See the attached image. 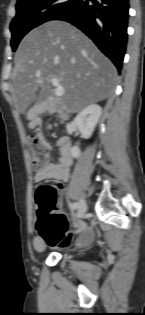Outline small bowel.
Masks as SVG:
<instances>
[{"instance_id": "obj_1", "label": "small bowel", "mask_w": 145, "mask_h": 315, "mask_svg": "<svg viewBox=\"0 0 145 315\" xmlns=\"http://www.w3.org/2000/svg\"><path fill=\"white\" fill-rule=\"evenodd\" d=\"M40 125L39 119H34L32 121L33 127H38ZM48 148H51L50 144L45 142ZM57 146L59 148L60 157L57 162H50L44 168L40 170H35L33 175L34 183H41L47 180L55 181H66L69 178L70 166L72 163L70 142L66 138H61L57 141ZM61 202L58 205V210L60 209ZM45 241L40 235H37L33 239V247L37 251H42L45 248Z\"/></svg>"}]
</instances>
